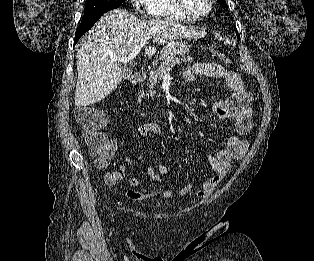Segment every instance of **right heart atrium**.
<instances>
[{
	"label": "right heart atrium",
	"instance_id": "d8ad5b80",
	"mask_svg": "<svg viewBox=\"0 0 314 261\" xmlns=\"http://www.w3.org/2000/svg\"><path fill=\"white\" fill-rule=\"evenodd\" d=\"M149 0H130L136 10L146 9Z\"/></svg>",
	"mask_w": 314,
	"mask_h": 261
}]
</instances>
